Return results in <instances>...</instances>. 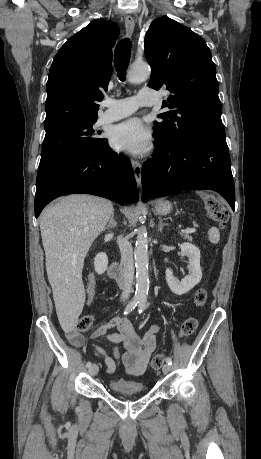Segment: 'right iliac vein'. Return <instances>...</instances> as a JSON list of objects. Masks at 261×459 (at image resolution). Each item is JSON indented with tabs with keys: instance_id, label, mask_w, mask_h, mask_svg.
Masks as SVG:
<instances>
[{
	"instance_id": "right-iliac-vein-1",
	"label": "right iliac vein",
	"mask_w": 261,
	"mask_h": 459,
	"mask_svg": "<svg viewBox=\"0 0 261 459\" xmlns=\"http://www.w3.org/2000/svg\"><path fill=\"white\" fill-rule=\"evenodd\" d=\"M99 371V367L96 365V364H93L90 368H89V374L91 376H95Z\"/></svg>"
}]
</instances>
